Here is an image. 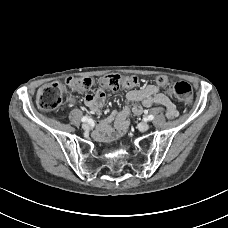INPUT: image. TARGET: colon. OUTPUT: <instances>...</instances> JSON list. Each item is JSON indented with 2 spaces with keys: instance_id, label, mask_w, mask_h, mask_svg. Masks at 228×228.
<instances>
[{
  "instance_id": "1",
  "label": "colon",
  "mask_w": 228,
  "mask_h": 228,
  "mask_svg": "<svg viewBox=\"0 0 228 228\" xmlns=\"http://www.w3.org/2000/svg\"><path fill=\"white\" fill-rule=\"evenodd\" d=\"M137 78L134 76H121L118 74H108L95 81L91 78H69L67 87L73 92H85L98 84L106 90H117L119 88L132 89L137 85ZM161 87H168V92L179 101L188 105L192 101V87L188 82L181 81L170 85V80L166 76H160L156 80ZM67 94L65 85L52 82L42 86L36 96L38 106L45 111H52L59 108Z\"/></svg>"
}]
</instances>
